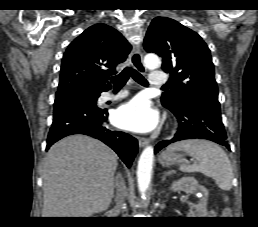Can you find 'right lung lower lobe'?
<instances>
[{"label":"right lung lower lobe","mask_w":258,"mask_h":227,"mask_svg":"<svg viewBox=\"0 0 258 227\" xmlns=\"http://www.w3.org/2000/svg\"><path fill=\"white\" fill-rule=\"evenodd\" d=\"M107 117L106 110L93 106L80 97H70L55 102L53 123L48 134L46 149L68 135L85 134L110 146L127 167H130L138 151V142L125 132L109 129L105 125Z\"/></svg>","instance_id":"right-lung-lower-lobe-1"}]
</instances>
